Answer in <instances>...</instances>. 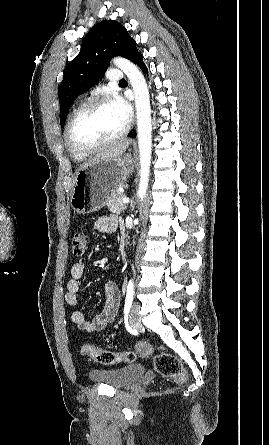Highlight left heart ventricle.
Returning a JSON list of instances; mask_svg holds the SVG:
<instances>
[{
	"mask_svg": "<svg viewBox=\"0 0 269 445\" xmlns=\"http://www.w3.org/2000/svg\"><path fill=\"white\" fill-rule=\"evenodd\" d=\"M126 123L110 103L96 106L82 114L72 128L73 141L92 147L119 134Z\"/></svg>",
	"mask_w": 269,
	"mask_h": 445,
	"instance_id": "1",
	"label": "left heart ventricle"
}]
</instances>
